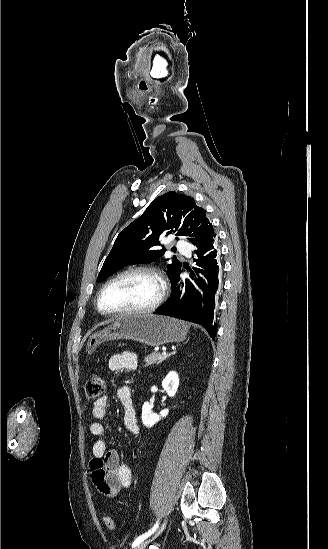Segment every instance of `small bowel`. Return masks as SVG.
<instances>
[{
  "label": "small bowel",
  "instance_id": "1",
  "mask_svg": "<svg viewBox=\"0 0 328 549\" xmlns=\"http://www.w3.org/2000/svg\"><path fill=\"white\" fill-rule=\"evenodd\" d=\"M108 367L111 371H133L138 367L137 355L130 351L116 353L109 358ZM117 397L124 408V425L132 434L139 433L137 414L133 404L132 393L128 386H120ZM108 397L97 399L92 407V415L96 421L89 426L90 433L95 437L92 447V458L89 462L91 478L101 494L106 497L116 496L122 489L132 483L131 468L120 463L119 454L115 449H107L103 436L105 427L101 422L107 414Z\"/></svg>",
  "mask_w": 328,
  "mask_h": 549
}]
</instances>
